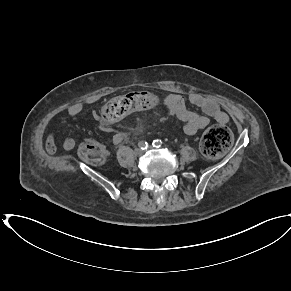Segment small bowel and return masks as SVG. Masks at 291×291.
<instances>
[{"instance_id": "1", "label": "small bowel", "mask_w": 291, "mask_h": 291, "mask_svg": "<svg viewBox=\"0 0 291 291\" xmlns=\"http://www.w3.org/2000/svg\"><path fill=\"white\" fill-rule=\"evenodd\" d=\"M97 100V97H88L73 103L67 109L68 116L76 117L80 115L88 105L93 104ZM187 100L192 105L201 109L202 114L190 110L187 107ZM163 110L167 114L174 115L185 122L183 129L187 135H194L206 128L210 124L211 119H215L222 124L228 123L230 119L229 115L213 99L197 92L190 93L187 98L184 94L178 92L167 95L163 99ZM93 117L96 120L98 119L96 113H93ZM101 129L106 133H113L112 141L114 144H120L128 138L125 133L116 132L112 127L102 126ZM56 130L57 126L46 133L45 149L50 155L55 154L57 149L55 144ZM75 145L76 141L71 137L64 139L62 144L63 149L66 151L72 150Z\"/></svg>"}]
</instances>
